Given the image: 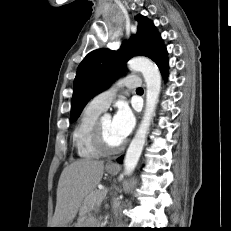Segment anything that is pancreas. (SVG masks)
Returning a JSON list of instances; mask_svg holds the SVG:
<instances>
[{"instance_id": "1", "label": "pancreas", "mask_w": 231, "mask_h": 231, "mask_svg": "<svg viewBox=\"0 0 231 231\" xmlns=\"http://www.w3.org/2000/svg\"><path fill=\"white\" fill-rule=\"evenodd\" d=\"M105 196L106 193L104 192V190L96 189L87 196L85 204L88 207L98 206L105 199Z\"/></svg>"}]
</instances>
